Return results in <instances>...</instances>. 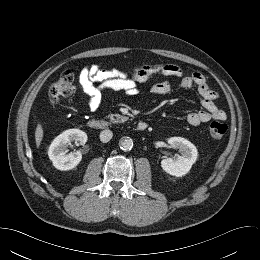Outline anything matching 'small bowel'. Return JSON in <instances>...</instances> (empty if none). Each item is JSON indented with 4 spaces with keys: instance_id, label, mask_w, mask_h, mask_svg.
<instances>
[{
    "instance_id": "obj_1",
    "label": "small bowel",
    "mask_w": 260,
    "mask_h": 260,
    "mask_svg": "<svg viewBox=\"0 0 260 260\" xmlns=\"http://www.w3.org/2000/svg\"><path fill=\"white\" fill-rule=\"evenodd\" d=\"M156 74L178 78L181 89L197 87L204 110L187 115V122L190 125L198 126L212 119L219 121L226 119V113L215 103L217 94L207 84L205 76L200 72L186 75L181 67L174 64L145 65L136 69L132 76L117 69L104 70L92 65L79 72L78 84L81 92L87 97L89 111L95 112L100 106L104 90L133 96L138 94L139 84ZM172 89L173 86L169 81H161L152 85L150 91L153 95H165Z\"/></svg>"
}]
</instances>
